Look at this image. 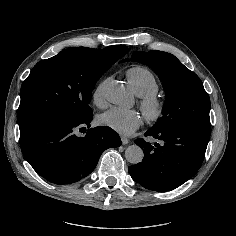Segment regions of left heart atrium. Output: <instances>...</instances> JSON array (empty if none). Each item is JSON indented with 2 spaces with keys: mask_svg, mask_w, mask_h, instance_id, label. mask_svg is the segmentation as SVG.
<instances>
[{
  "mask_svg": "<svg viewBox=\"0 0 236 236\" xmlns=\"http://www.w3.org/2000/svg\"><path fill=\"white\" fill-rule=\"evenodd\" d=\"M99 123L121 135L129 136L144 124V117L136 110L113 107L99 116Z\"/></svg>",
  "mask_w": 236,
  "mask_h": 236,
  "instance_id": "obj_1",
  "label": "left heart atrium"
}]
</instances>
